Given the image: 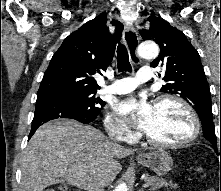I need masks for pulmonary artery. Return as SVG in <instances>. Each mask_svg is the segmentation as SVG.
Returning <instances> with one entry per match:
<instances>
[{
    "label": "pulmonary artery",
    "mask_w": 221,
    "mask_h": 191,
    "mask_svg": "<svg viewBox=\"0 0 221 191\" xmlns=\"http://www.w3.org/2000/svg\"><path fill=\"white\" fill-rule=\"evenodd\" d=\"M153 71L149 67H142L138 70L135 77L117 79L114 84L106 87L103 92L110 94H124L133 91L140 83L151 81Z\"/></svg>",
    "instance_id": "e3ab8cb5"
}]
</instances>
